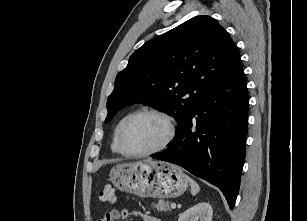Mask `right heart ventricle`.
<instances>
[{
	"mask_svg": "<svg viewBox=\"0 0 307 221\" xmlns=\"http://www.w3.org/2000/svg\"><path fill=\"white\" fill-rule=\"evenodd\" d=\"M129 115H124L116 124L115 128H114V132H113V138H112V143H111V150L113 153H120L118 150V146H117V138H118V133L119 130L122 126V124L124 123V121L126 120V118Z\"/></svg>",
	"mask_w": 307,
	"mask_h": 221,
	"instance_id": "obj_1",
	"label": "right heart ventricle"
}]
</instances>
